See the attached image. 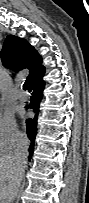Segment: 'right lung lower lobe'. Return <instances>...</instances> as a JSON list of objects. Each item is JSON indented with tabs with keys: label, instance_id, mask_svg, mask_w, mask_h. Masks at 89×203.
Instances as JSON below:
<instances>
[{
	"label": "right lung lower lobe",
	"instance_id": "1",
	"mask_svg": "<svg viewBox=\"0 0 89 203\" xmlns=\"http://www.w3.org/2000/svg\"><path fill=\"white\" fill-rule=\"evenodd\" d=\"M44 73H45V70L29 83L31 90H33L29 108L33 109L34 112L36 113V117L34 119L26 120V125H27L26 131L31 141V144L29 147V159H31L33 155L34 141H35L36 132H37V128H36L37 115L39 113V104H40V101L42 100L43 90L45 87V82L42 79V77L44 76Z\"/></svg>",
	"mask_w": 89,
	"mask_h": 203
}]
</instances>
